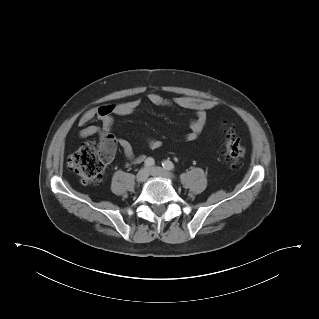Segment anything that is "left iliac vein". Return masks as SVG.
Masks as SVG:
<instances>
[{
    "label": "left iliac vein",
    "mask_w": 319,
    "mask_h": 319,
    "mask_svg": "<svg viewBox=\"0 0 319 319\" xmlns=\"http://www.w3.org/2000/svg\"><path fill=\"white\" fill-rule=\"evenodd\" d=\"M150 174L154 177H160L164 179H173L174 175L167 170L161 168V167H152L150 169Z\"/></svg>",
    "instance_id": "obj_1"
}]
</instances>
